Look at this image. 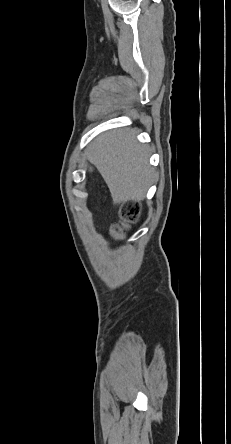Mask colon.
Segmentation results:
<instances>
[{"mask_svg": "<svg viewBox=\"0 0 231 444\" xmlns=\"http://www.w3.org/2000/svg\"><path fill=\"white\" fill-rule=\"evenodd\" d=\"M136 214L137 210L132 208L126 213L123 225H117L113 227L112 235L114 238L120 239L124 236L125 226H127L129 223L133 222L136 219Z\"/></svg>", "mask_w": 231, "mask_h": 444, "instance_id": "obj_1", "label": "colon"}]
</instances>
